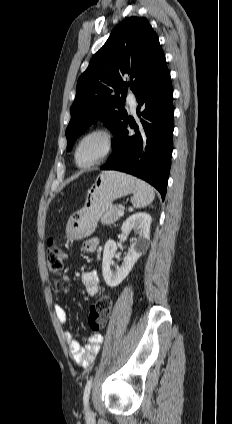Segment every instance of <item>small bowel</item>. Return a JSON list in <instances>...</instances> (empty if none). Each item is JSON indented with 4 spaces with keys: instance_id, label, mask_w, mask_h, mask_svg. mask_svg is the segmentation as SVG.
<instances>
[{
    "instance_id": "1",
    "label": "small bowel",
    "mask_w": 232,
    "mask_h": 424,
    "mask_svg": "<svg viewBox=\"0 0 232 424\" xmlns=\"http://www.w3.org/2000/svg\"><path fill=\"white\" fill-rule=\"evenodd\" d=\"M98 245L99 240L97 238H89L84 242L83 249L86 252H94L97 250ZM81 279L89 296L93 297L99 293L100 278L97 271L84 272L81 275ZM54 282L58 285H67L70 283V278L66 275H59L55 278ZM54 314L60 323L65 324L68 322V312L63 306L55 304ZM65 339L68 350L77 365L89 367L93 364L102 343V336L100 334L90 336L84 347L80 345L79 341L70 331L65 332Z\"/></svg>"
}]
</instances>
